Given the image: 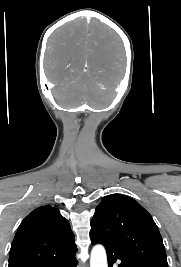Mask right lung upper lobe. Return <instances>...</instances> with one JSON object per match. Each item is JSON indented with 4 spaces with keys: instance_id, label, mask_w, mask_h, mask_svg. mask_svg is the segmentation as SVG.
Here are the masks:
<instances>
[{
    "instance_id": "1",
    "label": "right lung upper lobe",
    "mask_w": 181,
    "mask_h": 267,
    "mask_svg": "<svg viewBox=\"0 0 181 267\" xmlns=\"http://www.w3.org/2000/svg\"><path fill=\"white\" fill-rule=\"evenodd\" d=\"M77 250L67 220L49 205L32 211L20 224L12 242L9 266L47 262Z\"/></svg>"
}]
</instances>
